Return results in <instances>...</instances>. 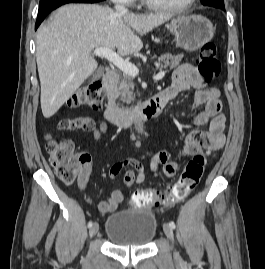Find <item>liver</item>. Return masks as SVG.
Returning <instances> with one entry per match:
<instances>
[{
	"instance_id": "liver-1",
	"label": "liver",
	"mask_w": 265,
	"mask_h": 269,
	"mask_svg": "<svg viewBox=\"0 0 265 269\" xmlns=\"http://www.w3.org/2000/svg\"><path fill=\"white\" fill-rule=\"evenodd\" d=\"M168 14H119L95 4L60 7L36 35V61L43 116H53L97 69L95 48L138 53L145 35L171 19Z\"/></svg>"
}]
</instances>
